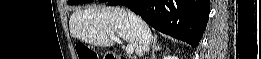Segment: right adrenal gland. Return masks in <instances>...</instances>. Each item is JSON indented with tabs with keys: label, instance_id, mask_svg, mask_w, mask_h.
Masks as SVG:
<instances>
[{
	"label": "right adrenal gland",
	"instance_id": "1",
	"mask_svg": "<svg viewBox=\"0 0 261 59\" xmlns=\"http://www.w3.org/2000/svg\"><path fill=\"white\" fill-rule=\"evenodd\" d=\"M152 59H155V52L161 50V47L157 44L156 38L153 41V45H152Z\"/></svg>",
	"mask_w": 261,
	"mask_h": 59
}]
</instances>
